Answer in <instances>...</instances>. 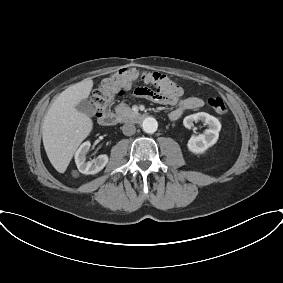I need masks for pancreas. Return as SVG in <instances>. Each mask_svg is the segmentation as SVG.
I'll return each instance as SVG.
<instances>
[{"label":"pancreas","mask_w":283,"mask_h":283,"mask_svg":"<svg viewBox=\"0 0 283 283\" xmlns=\"http://www.w3.org/2000/svg\"><path fill=\"white\" fill-rule=\"evenodd\" d=\"M115 111H116L117 115L119 117H122V118H127V117H130L131 115H133V111L125 103H120L119 105H117L115 107Z\"/></svg>","instance_id":"pancreas-1"}]
</instances>
